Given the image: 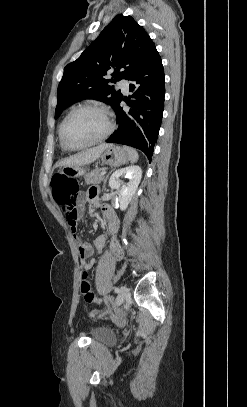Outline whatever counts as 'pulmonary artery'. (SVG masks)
<instances>
[{
    "instance_id": "pulmonary-artery-1",
    "label": "pulmonary artery",
    "mask_w": 247,
    "mask_h": 407,
    "mask_svg": "<svg viewBox=\"0 0 247 407\" xmlns=\"http://www.w3.org/2000/svg\"><path fill=\"white\" fill-rule=\"evenodd\" d=\"M119 85L125 93L128 92V90H129V81L128 80H126V79L120 80Z\"/></svg>"
}]
</instances>
